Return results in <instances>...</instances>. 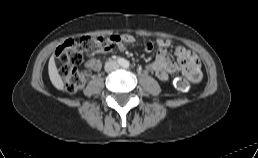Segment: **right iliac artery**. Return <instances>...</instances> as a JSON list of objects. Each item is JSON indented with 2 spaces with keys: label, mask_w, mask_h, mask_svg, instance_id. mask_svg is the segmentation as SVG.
<instances>
[{
  "label": "right iliac artery",
  "mask_w": 258,
  "mask_h": 158,
  "mask_svg": "<svg viewBox=\"0 0 258 158\" xmlns=\"http://www.w3.org/2000/svg\"><path fill=\"white\" fill-rule=\"evenodd\" d=\"M117 62H118L120 65H123V64H124V59L118 58V59H117Z\"/></svg>",
  "instance_id": "right-iliac-artery-1"
}]
</instances>
